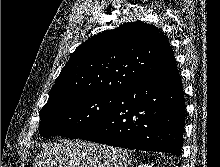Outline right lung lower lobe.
Listing matches in <instances>:
<instances>
[{
	"mask_svg": "<svg viewBox=\"0 0 220 167\" xmlns=\"http://www.w3.org/2000/svg\"><path fill=\"white\" fill-rule=\"evenodd\" d=\"M185 99L177 70L117 93L102 119L79 138L180 156Z\"/></svg>",
	"mask_w": 220,
	"mask_h": 167,
	"instance_id": "1",
	"label": "right lung lower lobe"
}]
</instances>
